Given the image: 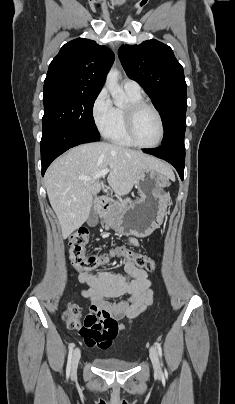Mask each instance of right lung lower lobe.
I'll list each match as a JSON object with an SVG mask.
<instances>
[{
  "label": "right lung lower lobe",
  "instance_id": "98d812e1",
  "mask_svg": "<svg viewBox=\"0 0 235 404\" xmlns=\"http://www.w3.org/2000/svg\"><path fill=\"white\" fill-rule=\"evenodd\" d=\"M100 137L71 127H63L44 132L41 139L42 175L51 162L68 149L98 141Z\"/></svg>",
  "mask_w": 235,
  "mask_h": 404
}]
</instances>
